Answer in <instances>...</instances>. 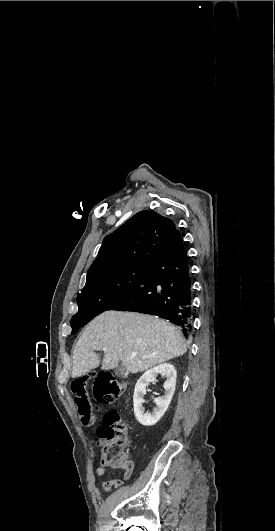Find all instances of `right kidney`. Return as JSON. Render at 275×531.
<instances>
[{"label":"right kidney","mask_w":275,"mask_h":531,"mask_svg":"<svg viewBox=\"0 0 275 531\" xmlns=\"http://www.w3.org/2000/svg\"><path fill=\"white\" fill-rule=\"evenodd\" d=\"M158 373H163V375L168 377L167 381H165L163 385L165 389V395H163V397H158V399H154L157 409H154L153 413H145L142 403L143 397L146 395V387H148L149 383L156 381ZM176 379L177 373L171 363H163V365L153 367V369H149V371H146V373H144V375L138 379L134 389L133 403L134 415L140 425H144V427H152V425H156L159 419L163 417L174 395Z\"/></svg>","instance_id":"obj_1"}]
</instances>
